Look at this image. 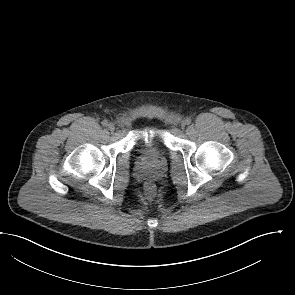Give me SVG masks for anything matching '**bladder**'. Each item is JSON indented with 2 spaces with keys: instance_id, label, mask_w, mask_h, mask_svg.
I'll return each instance as SVG.
<instances>
[{
  "instance_id": "1",
  "label": "bladder",
  "mask_w": 295,
  "mask_h": 295,
  "mask_svg": "<svg viewBox=\"0 0 295 295\" xmlns=\"http://www.w3.org/2000/svg\"><path fill=\"white\" fill-rule=\"evenodd\" d=\"M161 148L160 137L157 130L148 131L146 139L140 144L138 151L144 157L156 156Z\"/></svg>"
}]
</instances>
